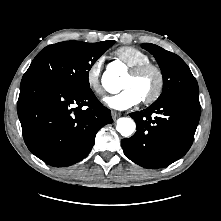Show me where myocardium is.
Masks as SVG:
<instances>
[{
    "mask_svg": "<svg viewBox=\"0 0 221 221\" xmlns=\"http://www.w3.org/2000/svg\"><path fill=\"white\" fill-rule=\"evenodd\" d=\"M148 71H153L155 73L156 84L153 91L142 99L144 104H152L161 96L165 85L164 72L158 64L150 61L130 67L129 69V73L133 76H140Z\"/></svg>",
    "mask_w": 221,
    "mask_h": 221,
    "instance_id": "obj_1",
    "label": "myocardium"
}]
</instances>
